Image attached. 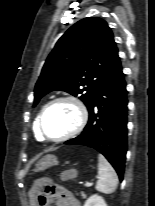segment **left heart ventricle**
<instances>
[{
  "label": "left heart ventricle",
  "mask_w": 155,
  "mask_h": 206,
  "mask_svg": "<svg viewBox=\"0 0 155 206\" xmlns=\"http://www.w3.org/2000/svg\"><path fill=\"white\" fill-rule=\"evenodd\" d=\"M77 118L76 109L71 104H56L43 119V131L49 137H61L75 127Z\"/></svg>",
  "instance_id": "b2bd125f"
}]
</instances>
